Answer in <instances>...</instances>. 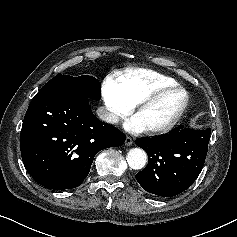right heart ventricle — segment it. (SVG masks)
Returning <instances> with one entry per match:
<instances>
[{
    "label": "right heart ventricle",
    "instance_id": "right-heart-ventricle-1",
    "mask_svg": "<svg viewBox=\"0 0 237 237\" xmlns=\"http://www.w3.org/2000/svg\"><path fill=\"white\" fill-rule=\"evenodd\" d=\"M113 79L121 93L133 105L162 87L177 84L173 78L147 69L124 70L116 73Z\"/></svg>",
    "mask_w": 237,
    "mask_h": 237
}]
</instances>
